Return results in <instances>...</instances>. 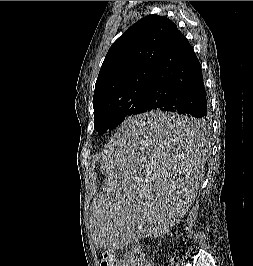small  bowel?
Instances as JSON below:
<instances>
[{
    "label": "small bowel",
    "instance_id": "1",
    "mask_svg": "<svg viewBox=\"0 0 253 266\" xmlns=\"http://www.w3.org/2000/svg\"><path fill=\"white\" fill-rule=\"evenodd\" d=\"M121 266H150V264L142 256V248H133L124 254Z\"/></svg>",
    "mask_w": 253,
    "mask_h": 266
}]
</instances>
